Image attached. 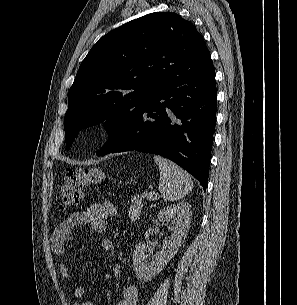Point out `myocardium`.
<instances>
[{"label":"myocardium","mask_w":297,"mask_h":305,"mask_svg":"<svg viewBox=\"0 0 297 305\" xmlns=\"http://www.w3.org/2000/svg\"><path fill=\"white\" fill-rule=\"evenodd\" d=\"M92 134L96 138H105L110 134V129L108 126L101 124L93 129Z\"/></svg>","instance_id":"obj_1"}]
</instances>
